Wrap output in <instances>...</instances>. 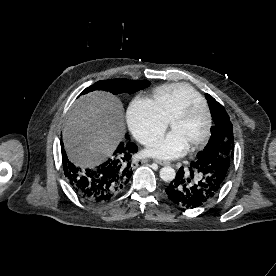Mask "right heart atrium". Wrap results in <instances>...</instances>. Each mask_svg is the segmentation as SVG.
<instances>
[{"label": "right heart atrium", "mask_w": 276, "mask_h": 276, "mask_svg": "<svg viewBox=\"0 0 276 276\" xmlns=\"http://www.w3.org/2000/svg\"><path fill=\"white\" fill-rule=\"evenodd\" d=\"M127 120L133 135L145 145L162 135L168 126V121L156 104L143 97L132 100L128 108Z\"/></svg>", "instance_id": "obj_1"}]
</instances>
